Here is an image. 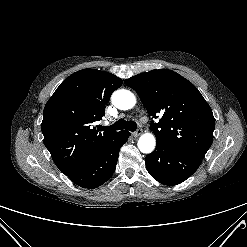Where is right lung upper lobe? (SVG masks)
<instances>
[{"instance_id": "1", "label": "right lung upper lobe", "mask_w": 247, "mask_h": 247, "mask_svg": "<svg viewBox=\"0 0 247 247\" xmlns=\"http://www.w3.org/2000/svg\"><path fill=\"white\" fill-rule=\"evenodd\" d=\"M122 80L108 72L83 69L66 78L45 105L44 144L62 173L69 176L119 132L98 133L92 124Z\"/></svg>"}]
</instances>
